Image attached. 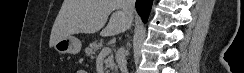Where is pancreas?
I'll use <instances>...</instances> for the list:
<instances>
[{
    "label": "pancreas",
    "mask_w": 244,
    "mask_h": 73,
    "mask_svg": "<svg viewBox=\"0 0 244 73\" xmlns=\"http://www.w3.org/2000/svg\"><path fill=\"white\" fill-rule=\"evenodd\" d=\"M102 43L94 41L88 45L85 49L86 56L91 57V59H95L96 53L101 49ZM114 60L113 55L111 54V51L107 54V57L105 59V68H114ZM108 73V71H107Z\"/></svg>",
    "instance_id": "cf45deb5"
}]
</instances>
